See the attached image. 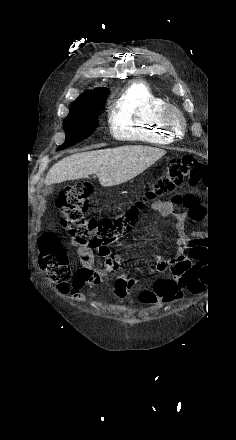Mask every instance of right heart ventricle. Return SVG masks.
I'll list each match as a JSON object with an SVG mask.
<instances>
[{
    "label": "right heart ventricle",
    "instance_id": "right-heart-ventricle-1",
    "mask_svg": "<svg viewBox=\"0 0 236 440\" xmlns=\"http://www.w3.org/2000/svg\"><path fill=\"white\" fill-rule=\"evenodd\" d=\"M167 104L146 83H131L110 108L108 122L112 135L120 140L150 145L171 143L173 138L160 121Z\"/></svg>",
    "mask_w": 236,
    "mask_h": 440
}]
</instances>
